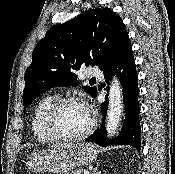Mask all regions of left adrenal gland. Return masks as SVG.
Masks as SVG:
<instances>
[{
    "instance_id": "obj_1",
    "label": "left adrenal gland",
    "mask_w": 175,
    "mask_h": 174,
    "mask_svg": "<svg viewBox=\"0 0 175 174\" xmlns=\"http://www.w3.org/2000/svg\"><path fill=\"white\" fill-rule=\"evenodd\" d=\"M98 166H99V164L96 165L92 174H100L101 173L100 171H98Z\"/></svg>"
}]
</instances>
